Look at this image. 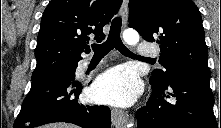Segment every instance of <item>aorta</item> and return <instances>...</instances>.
Instances as JSON below:
<instances>
[{"label": "aorta", "instance_id": "aorta-1", "mask_svg": "<svg viewBox=\"0 0 221 128\" xmlns=\"http://www.w3.org/2000/svg\"><path fill=\"white\" fill-rule=\"evenodd\" d=\"M123 39L128 45L135 46L139 42V34L133 29H126L123 32Z\"/></svg>", "mask_w": 221, "mask_h": 128}]
</instances>
